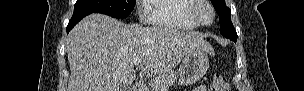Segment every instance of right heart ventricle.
<instances>
[{
  "instance_id": "1",
  "label": "right heart ventricle",
  "mask_w": 304,
  "mask_h": 91,
  "mask_svg": "<svg viewBox=\"0 0 304 91\" xmlns=\"http://www.w3.org/2000/svg\"><path fill=\"white\" fill-rule=\"evenodd\" d=\"M191 0H149L148 13L155 26L177 30H193L197 24L189 11Z\"/></svg>"
}]
</instances>
